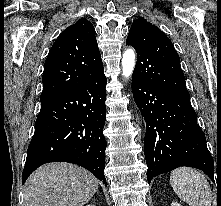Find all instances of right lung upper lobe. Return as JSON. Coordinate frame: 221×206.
I'll list each match as a JSON object with an SVG mask.
<instances>
[{
	"label": "right lung upper lobe",
	"instance_id": "cb5924a9",
	"mask_svg": "<svg viewBox=\"0 0 221 206\" xmlns=\"http://www.w3.org/2000/svg\"><path fill=\"white\" fill-rule=\"evenodd\" d=\"M102 72L94 26L80 19L59 35L47 56L40 101L77 88Z\"/></svg>",
	"mask_w": 221,
	"mask_h": 206
}]
</instances>
